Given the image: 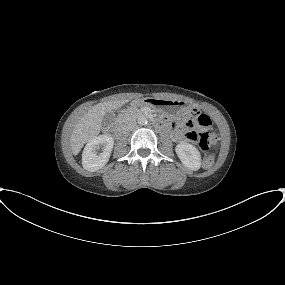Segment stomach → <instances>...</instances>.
Wrapping results in <instances>:
<instances>
[{
    "instance_id": "1",
    "label": "stomach",
    "mask_w": 285,
    "mask_h": 285,
    "mask_svg": "<svg viewBox=\"0 0 285 285\" xmlns=\"http://www.w3.org/2000/svg\"><path fill=\"white\" fill-rule=\"evenodd\" d=\"M137 105L147 106L154 111L162 113H173L185 107L184 101L158 99L147 97L136 102Z\"/></svg>"
}]
</instances>
